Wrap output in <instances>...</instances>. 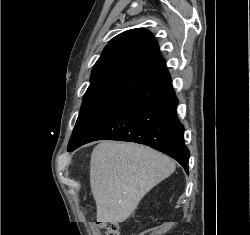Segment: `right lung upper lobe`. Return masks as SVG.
I'll list each match as a JSON object with an SVG mask.
<instances>
[{"instance_id":"1","label":"right lung upper lobe","mask_w":250,"mask_h":235,"mask_svg":"<svg viewBox=\"0 0 250 235\" xmlns=\"http://www.w3.org/2000/svg\"><path fill=\"white\" fill-rule=\"evenodd\" d=\"M152 33L144 28L125 31L104 48L93 67L84 98L96 95H133L167 71Z\"/></svg>"}]
</instances>
